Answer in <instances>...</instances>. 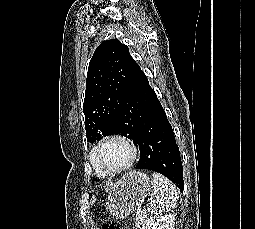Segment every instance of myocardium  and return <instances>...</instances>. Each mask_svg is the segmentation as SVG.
I'll use <instances>...</instances> for the list:
<instances>
[{
	"mask_svg": "<svg viewBox=\"0 0 255 229\" xmlns=\"http://www.w3.org/2000/svg\"><path fill=\"white\" fill-rule=\"evenodd\" d=\"M110 141L121 142V143L125 144L130 150L129 161L121 167H118V168L106 167L98 159L99 150L101 149V147L104 144H106L107 142H110ZM137 155H138L137 147L131 139H129L127 136H125L123 134L113 133V134L104 136L95 144V146L93 147V149L91 151L90 160H91L92 164L101 167L108 175H116V174H120V173L128 170L130 167H132V165L135 163V161L137 159Z\"/></svg>",
	"mask_w": 255,
	"mask_h": 229,
	"instance_id": "myocardium-1",
	"label": "myocardium"
}]
</instances>
